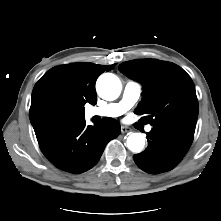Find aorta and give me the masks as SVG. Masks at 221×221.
Instances as JSON below:
<instances>
[{"label": "aorta", "instance_id": "762f6f07", "mask_svg": "<svg viewBox=\"0 0 221 221\" xmlns=\"http://www.w3.org/2000/svg\"><path fill=\"white\" fill-rule=\"evenodd\" d=\"M96 88L100 97L105 100H115L121 92V82L112 73L102 74L96 83ZM145 146V138L141 133H132L127 138V147L130 151L139 153Z\"/></svg>", "mask_w": 221, "mask_h": 221}]
</instances>
